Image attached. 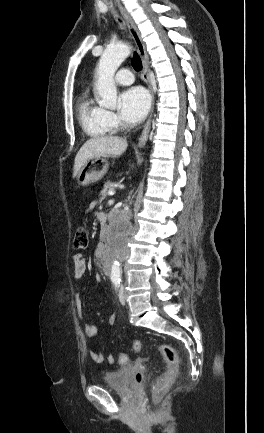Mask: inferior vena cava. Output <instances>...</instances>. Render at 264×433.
Returning a JSON list of instances; mask_svg holds the SVG:
<instances>
[{
  "mask_svg": "<svg viewBox=\"0 0 264 433\" xmlns=\"http://www.w3.org/2000/svg\"><path fill=\"white\" fill-rule=\"evenodd\" d=\"M116 252H125V251H116Z\"/></svg>",
  "mask_w": 264,
  "mask_h": 433,
  "instance_id": "1",
  "label": "inferior vena cava"
}]
</instances>
